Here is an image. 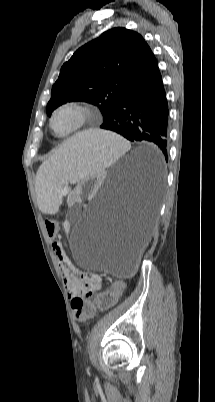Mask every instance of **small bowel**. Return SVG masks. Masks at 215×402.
Wrapping results in <instances>:
<instances>
[{
	"mask_svg": "<svg viewBox=\"0 0 215 402\" xmlns=\"http://www.w3.org/2000/svg\"><path fill=\"white\" fill-rule=\"evenodd\" d=\"M52 247L59 263H66L68 258L61 242L57 240L52 242ZM61 270L69 296L73 298L87 296L90 292L99 291L101 288L102 279L98 274H92L91 278H84L70 272L64 266H61Z\"/></svg>",
	"mask_w": 215,
	"mask_h": 402,
	"instance_id": "1",
	"label": "small bowel"
}]
</instances>
